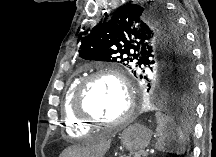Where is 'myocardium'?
I'll return each mask as SVG.
<instances>
[{"instance_id":"f54148a6","label":"myocardium","mask_w":216,"mask_h":157,"mask_svg":"<svg viewBox=\"0 0 216 157\" xmlns=\"http://www.w3.org/2000/svg\"><path fill=\"white\" fill-rule=\"evenodd\" d=\"M108 77L115 80L123 89L126 100L127 107L124 113L113 122H105L97 119L93 116L86 108V97L88 93V88L90 84L98 78ZM72 110L79 120L83 121L87 125H101L106 127H121L129 123L135 111V100L134 94L125 79V77L118 71L114 69H101L98 70L84 78H82L77 87L75 88L72 100Z\"/></svg>"}]
</instances>
